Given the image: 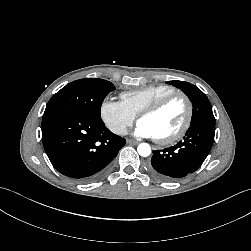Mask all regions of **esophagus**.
<instances>
[{
  "mask_svg": "<svg viewBox=\"0 0 251 251\" xmlns=\"http://www.w3.org/2000/svg\"><path fill=\"white\" fill-rule=\"evenodd\" d=\"M127 143H128V144H131V145H137L139 142L136 141V140L128 139V140H127Z\"/></svg>",
  "mask_w": 251,
  "mask_h": 251,
  "instance_id": "esophagus-1",
  "label": "esophagus"
}]
</instances>
